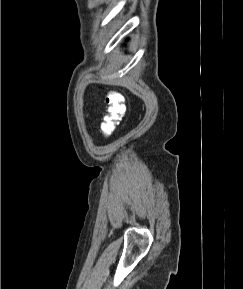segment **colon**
<instances>
[{
	"label": "colon",
	"mask_w": 243,
	"mask_h": 289,
	"mask_svg": "<svg viewBox=\"0 0 243 289\" xmlns=\"http://www.w3.org/2000/svg\"><path fill=\"white\" fill-rule=\"evenodd\" d=\"M107 115L101 125L103 136L109 137L116 129L119 118L125 112L124 96L117 91H110L105 98Z\"/></svg>",
	"instance_id": "1"
}]
</instances>
